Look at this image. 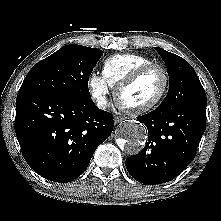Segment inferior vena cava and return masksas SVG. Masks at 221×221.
<instances>
[{
    "label": "inferior vena cava",
    "mask_w": 221,
    "mask_h": 221,
    "mask_svg": "<svg viewBox=\"0 0 221 221\" xmlns=\"http://www.w3.org/2000/svg\"><path fill=\"white\" fill-rule=\"evenodd\" d=\"M97 106L101 109H105L107 107V101L105 98H101L97 101Z\"/></svg>",
    "instance_id": "1"
}]
</instances>
